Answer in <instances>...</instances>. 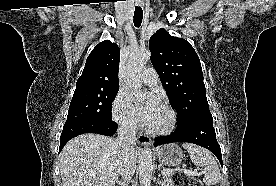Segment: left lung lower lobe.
Returning <instances> with one entry per match:
<instances>
[{
	"mask_svg": "<svg viewBox=\"0 0 276 186\" xmlns=\"http://www.w3.org/2000/svg\"><path fill=\"white\" fill-rule=\"evenodd\" d=\"M173 142H188L207 148L222 165L221 149L216 139L212 117L201 118L182 127H177L172 135L156 137L154 146Z\"/></svg>",
	"mask_w": 276,
	"mask_h": 186,
	"instance_id": "obj_1",
	"label": "left lung lower lobe"
}]
</instances>
